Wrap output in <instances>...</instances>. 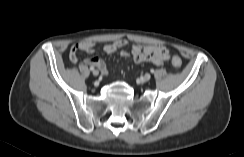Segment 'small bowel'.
I'll return each instance as SVG.
<instances>
[{
	"mask_svg": "<svg viewBox=\"0 0 244 157\" xmlns=\"http://www.w3.org/2000/svg\"><path fill=\"white\" fill-rule=\"evenodd\" d=\"M128 43L127 39H118L112 43L105 44L103 46V51L107 54L118 53L122 57L132 58L136 63L150 62L158 66L162 65L170 58V53L165 46L133 44L130 50H124L123 48L126 47ZM95 47L96 44L92 41H80L74 44L70 51V60L76 63L78 60L77 53L79 51L93 53ZM85 63L90 66H95L99 68L103 74H107V67L103 59L90 57L85 60Z\"/></svg>",
	"mask_w": 244,
	"mask_h": 157,
	"instance_id": "small-bowel-1",
	"label": "small bowel"
}]
</instances>
